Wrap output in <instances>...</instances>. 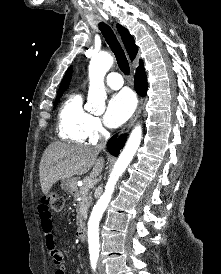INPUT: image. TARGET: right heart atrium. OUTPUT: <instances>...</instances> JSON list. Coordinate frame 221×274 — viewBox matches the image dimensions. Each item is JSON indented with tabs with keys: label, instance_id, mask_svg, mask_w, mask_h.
I'll use <instances>...</instances> for the list:
<instances>
[{
	"label": "right heart atrium",
	"instance_id": "d8ad5b80",
	"mask_svg": "<svg viewBox=\"0 0 221 274\" xmlns=\"http://www.w3.org/2000/svg\"><path fill=\"white\" fill-rule=\"evenodd\" d=\"M106 130L100 120V118L96 116H92L88 126V138L91 141L99 140L104 134Z\"/></svg>",
	"mask_w": 221,
	"mask_h": 274
}]
</instances>
